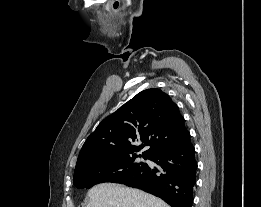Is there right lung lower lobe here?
Wrapping results in <instances>:
<instances>
[{"mask_svg": "<svg viewBox=\"0 0 261 207\" xmlns=\"http://www.w3.org/2000/svg\"><path fill=\"white\" fill-rule=\"evenodd\" d=\"M149 159L158 167L147 165L118 183L158 196L172 207H191L197 162L190 138L177 147L153 154Z\"/></svg>", "mask_w": 261, "mask_h": 207, "instance_id": "right-lung-lower-lobe-1", "label": "right lung lower lobe"}]
</instances>
